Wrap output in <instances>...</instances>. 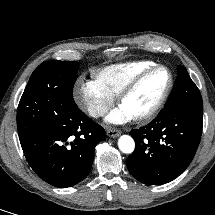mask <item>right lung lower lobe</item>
<instances>
[{"label":"right lung lower lobe","instance_id":"obj_1","mask_svg":"<svg viewBox=\"0 0 215 215\" xmlns=\"http://www.w3.org/2000/svg\"><path fill=\"white\" fill-rule=\"evenodd\" d=\"M105 138L104 129L77 107L20 143L29 165L41 179L66 188L87 176L95 146Z\"/></svg>","mask_w":215,"mask_h":215}]
</instances>
